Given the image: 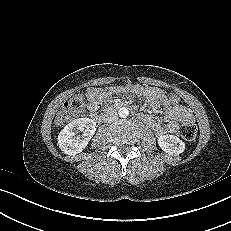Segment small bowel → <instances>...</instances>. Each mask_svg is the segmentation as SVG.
<instances>
[{
    "label": "small bowel",
    "instance_id": "obj_1",
    "mask_svg": "<svg viewBox=\"0 0 231 231\" xmlns=\"http://www.w3.org/2000/svg\"><path fill=\"white\" fill-rule=\"evenodd\" d=\"M131 92L135 97L145 101L152 110L164 109L162 117H156L149 114H140V118L146 122L151 129L158 135L175 133L182 124H193L194 116L192 111L183 105H172L166 94L154 87L145 86H113L106 90L90 88L87 91L88 108L91 114H94L104 99L109 96L122 92Z\"/></svg>",
    "mask_w": 231,
    "mask_h": 231
}]
</instances>
